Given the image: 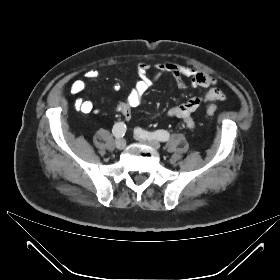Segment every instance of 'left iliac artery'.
I'll return each mask as SVG.
<instances>
[{
  "label": "left iliac artery",
  "mask_w": 280,
  "mask_h": 280,
  "mask_svg": "<svg viewBox=\"0 0 280 280\" xmlns=\"http://www.w3.org/2000/svg\"><path fill=\"white\" fill-rule=\"evenodd\" d=\"M136 131L139 135H141L143 137L155 138L162 142L168 141L169 137H170L169 132H167L165 130H157L155 132L150 133V132H147V131H144V130L138 128Z\"/></svg>",
  "instance_id": "left-iliac-artery-1"
}]
</instances>
